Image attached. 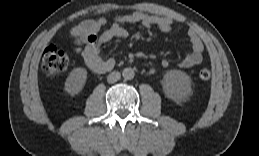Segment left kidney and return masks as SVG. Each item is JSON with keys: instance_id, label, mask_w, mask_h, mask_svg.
Masks as SVG:
<instances>
[{"instance_id": "1", "label": "left kidney", "mask_w": 259, "mask_h": 156, "mask_svg": "<svg viewBox=\"0 0 259 156\" xmlns=\"http://www.w3.org/2000/svg\"><path fill=\"white\" fill-rule=\"evenodd\" d=\"M191 78L180 70L168 71L162 80L163 92L169 99L180 102L192 93Z\"/></svg>"}]
</instances>
